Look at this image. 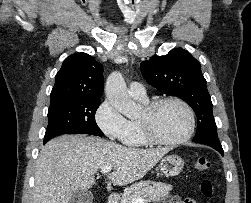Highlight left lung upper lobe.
I'll use <instances>...</instances> for the list:
<instances>
[{"label": "left lung upper lobe", "mask_w": 251, "mask_h": 203, "mask_svg": "<svg viewBox=\"0 0 251 203\" xmlns=\"http://www.w3.org/2000/svg\"><path fill=\"white\" fill-rule=\"evenodd\" d=\"M144 79L158 90L178 96L194 110L198 127L193 142L221 145L212 113V102L200 63L186 50L175 48L140 64Z\"/></svg>", "instance_id": "left-lung-upper-lobe-1"}]
</instances>
